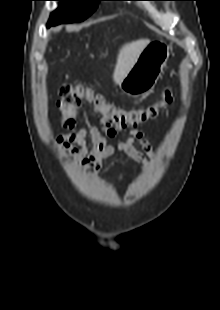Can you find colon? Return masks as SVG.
<instances>
[{
  "label": "colon",
  "instance_id": "colon-1",
  "mask_svg": "<svg viewBox=\"0 0 220 310\" xmlns=\"http://www.w3.org/2000/svg\"><path fill=\"white\" fill-rule=\"evenodd\" d=\"M173 97V85L169 82L156 101L140 107H123L107 101L88 86L64 84L60 88L58 107L61 121L67 129L76 126L79 107L82 104H89L101 115L104 126L118 130L126 127L137 128L154 120L172 103Z\"/></svg>",
  "mask_w": 220,
  "mask_h": 310
}]
</instances>
